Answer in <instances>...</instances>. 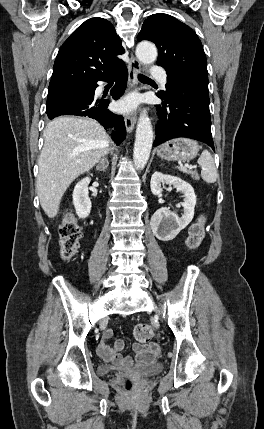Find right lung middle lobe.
<instances>
[{
  "mask_svg": "<svg viewBox=\"0 0 264 429\" xmlns=\"http://www.w3.org/2000/svg\"><path fill=\"white\" fill-rule=\"evenodd\" d=\"M91 90L90 84L65 85L55 88H49L47 97V108L63 100L66 97L85 93Z\"/></svg>",
  "mask_w": 264,
  "mask_h": 429,
  "instance_id": "obj_1",
  "label": "right lung middle lobe"
}]
</instances>
